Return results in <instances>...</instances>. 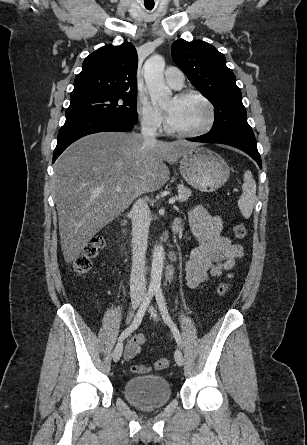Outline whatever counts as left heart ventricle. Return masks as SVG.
Returning <instances> with one entry per match:
<instances>
[{"mask_svg": "<svg viewBox=\"0 0 307 445\" xmlns=\"http://www.w3.org/2000/svg\"><path fill=\"white\" fill-rule=\"evenodd\" d=\"M171 126L177 130L192 132L206 125L209 119L207 107L197 99H180L172 96L163 103Z\"/></svg>", "mask_w": 307, "mask_h": 445, "instance_id": "left-heart-ventricle-1", "label": "left heart ventricle"}]
</instances>
